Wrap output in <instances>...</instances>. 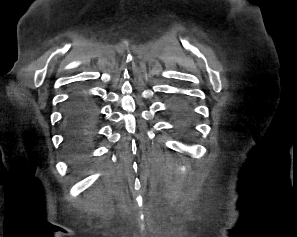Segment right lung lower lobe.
Instances as JSON below:
<instances>
[{
    "label": "right lung lower lobe",
    "instance_id": "1",
    "mask_svg": "<svg viewBox=\"0 0 297 237\" xmlns=\"http://www.w3.org/2000/svg\"><path fill=\"white\" fill-rule=\"evenodd\" d=\"M93 117V106L84 98L77 97L68 106L65 116L68 133L66 144L77 161H81L84 146L92 131V128L83 125L89 123Z\"/></svg>",
    "mask_w": 297,
    "mask_h": 237
}]
</instances>
